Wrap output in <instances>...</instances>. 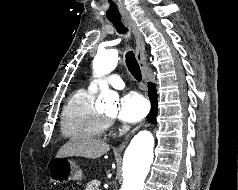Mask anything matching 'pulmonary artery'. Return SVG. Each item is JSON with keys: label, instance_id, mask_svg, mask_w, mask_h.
<instances>
[{"label": "pulmonary artery", "instance_id": "obj_1", "mask_svg": "<svg viewBox=\"0 0 238 190\" xmlns=\"http://www.w3.org/2000/svg\"><path fill=\"white\" fill-rule=\"evenodd\" d=\"M107 82L110 86H112L115 89H123L125 87V84H124L123 80L121 79V77L116 74L110 75L107 78ZM97 84H98L97 81L91 82L90 88L96 90Z\"/></svg>", "mask_w": 238, "mask_h": 190}]
</instances>
